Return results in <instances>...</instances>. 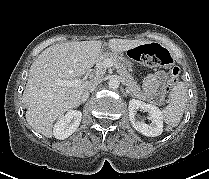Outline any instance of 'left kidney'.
Here are the masks:
<instances>
[{
  "mask_svg": "<svg viewBox=\"0 0 209 179\" xmlns=\"http://www.w3.org/2000/svg\"><path fill=\"white\" fill-rule=\"evenodd\" d=\"M129 119L134 129L148 137L159 136L163 131L162 112L152 104H146L140 100L132 99L129 101ZM141 109L148 112L150 124H146L137 116V111Z\"/></svg>",
  "mask_w": 209,
  "mask_h": 179,
  "instance_id": "left-kidney-1",
  "label": "left kidney"
}]
</instances>
